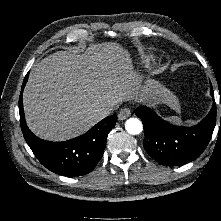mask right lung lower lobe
I'll list each match as a JSON object with an SVG mask.
<instances>
[{"label": "right lung lower lobe", "instance_id": "1", "mask_svg": "<svg viewBox=\"0 0 221 221\" xmlns=\"http://www.w3.org/2000/svg\"><path fill=\"white\" fill-rule=\"evenodd\" d=\"M19 112L25 140L35 156L46 168L64 176L84 175L96 166L104 152L108 133L117 119L116 115L107 117L86 134L74 139L49 142L39 139L28 129L24 120L21 97Z\"/></svg>", "mask_w": 221, "mask_h": 221}]
</instances>
